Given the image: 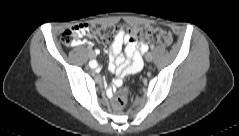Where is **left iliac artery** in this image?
Listing matches in <instances>:
<instances>
[{
	"label": "left iliac artery",
	"mask_w": 239,
	"mask_h": 136,
	"mask_svg": "<svg viewBox=\"0 0 239 136\" xmlns=\"http://www.w3.org/2000/svg\"><path fill=\"white\" fill-rule=\"evenodd\" d=\"M155 46L154 45H150V49L152 50Z\"/></svg>",
	"instance_id": "44dca946"
}]
</instances>
